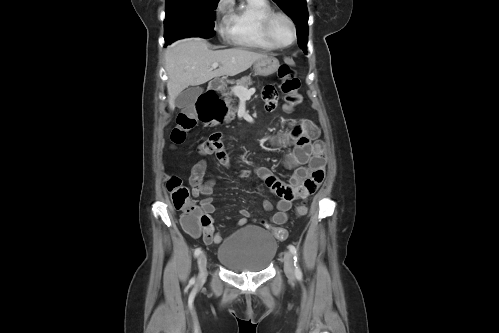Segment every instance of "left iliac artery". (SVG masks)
Segmentation results:
<instances>
[{"label":"left iliac artery","instance_id":"obj_1","mask_svg":"<svg viewBox=\"0 0 499 333\" xmlns=\"http://www.w3.org/2000/svg\"><path fill=\"white\" fill-rule=\"evenodd\" d=\"M289 250L292 253V255L294 256V266H295L296 278L300 280L302 278V272H301V269H300L299 264H298L297 248L294 245H289Z\"/></svg>","mask_w":499,"mask_h":333}]
</instances>
